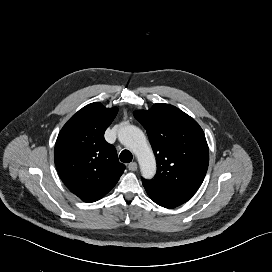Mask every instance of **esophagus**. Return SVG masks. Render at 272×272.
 Returning <instances> with one entry per match:
<instances>
[{
	"label": "esophagus",
	"mask_w": 272,
	"mask_h": 272,
	"mask_svg": "<svg viewBox=\"0 0 272 272\" xmlns=\"http://www.w3.org/2000/svg\"><path fill=\"white\" fill-rule=\"evenodd\" d=\"M128 169L130 171H136L137 170V163L136 162H131L128 164Z\"/></svg>",
	"instance_id": "34e87169"
}]
</instances>
